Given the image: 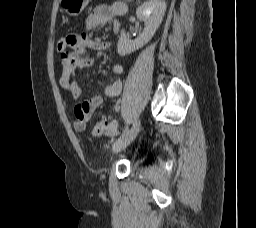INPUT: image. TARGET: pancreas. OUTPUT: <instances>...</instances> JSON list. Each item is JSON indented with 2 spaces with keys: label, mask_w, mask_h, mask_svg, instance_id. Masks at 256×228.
Masks as SVG:
<instances>
[{
  "label": "pancreas",
  "mask_w": 256,
  "mask_h": 228,
  "mask_svg": "<svg viewBox=\"0 0 256 228\" xmlns=\"http://www.w3.org/2000/svg\"><path fill=\"white\" fill-rule=\"evenodd\" d=\"M128 2H131L132 0H127Z\"/></svg>",
  "instance_id": "obj_1"
}]
</instances>
